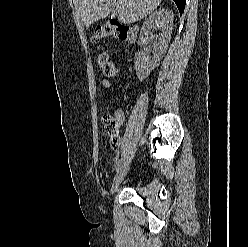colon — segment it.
<instances>
[{
    "label": "colon",
    "instance_id": "1",
    "mask_svg": "<svg viewBox=\"0 0 248 247\" xmlns=\"http://www.w3.org/2000/svg\"><path fill=\"white\" fill-rule=\"evenodd\" d=\"M107 37H114L116 39L126 41L129 39L128 27L115 19H110L105 23L98 25L93 35L94 42H99ZM99 64L104 75L113 77L117 74V69L105 53L100 54ZM103 122L104 132L112 137L113 145H117L118 138L116 136V122L111 116H105Z\"/></svg>",
    "mask_w": 248,
    "mask_h": 247
}]
</instances>
